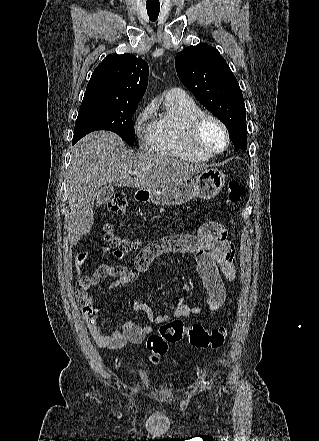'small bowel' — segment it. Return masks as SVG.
Returning <instances> with one entry per match:
<instances>
[{"instance_id": "obj_1", "label": "small bowel", "mask_w": 319, "mask_h": 441, "mask_svg": "<svg viewBox=\"0 0 319 441\" xmlns=\"http://www.w3.org/2000/svg\"><path fill=\"white\" fill-rule=\"evenodd\" d=\"M230 224L235 225V221L230 219ZM165 251L192 254L197 264L198 275L208 294L207 310L215 312L222 307L226 299L222 275L230 282L236 277L235 248L228 240L227 228L222 224L205 223L197 235L178 234L153 242L141 250L132 267L102 265L92 274H87L84 263L89 254L79 253L76 256V271L79 276L82 277V273L84 276L76 286L77 304L90 335L100 348L119 349L127 343L140 344L153 329L149 325L127 320L122 330L114 328L110 333H106L99 321L100 307L89 290L97 287L100 281L106 278L110 279L108 289L134 283L139 274L147 271L155 258ZM182 289L190 291L191 285L184 283ZM132 308L135 311H143L151 323H163L171 319L169 315L156 316L146 303L139 300L133 301ZM201 312V307L186 304L183 298H180L174 316L188 318Z\"/></svg>"}]
</instances>
